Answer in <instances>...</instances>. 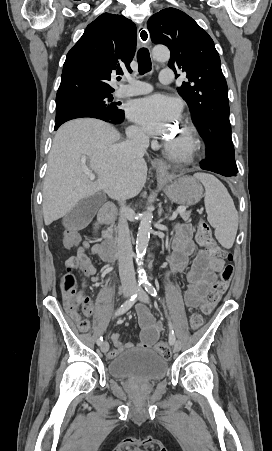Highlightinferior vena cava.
I'll list each match as a JSON object with an SVG mask.
<instances>
[{"label": "inferior vena cava", "mask_w": 272, "mask_h": 451, "mask_svg": "<svg viewBox=\"0 0 272 451\" xmlns=\"http://www.w3.org/2000/svg\"><path fill=\"white\" fill-rule=\"evenodd\" d=\"M128 142H121L117 146V156L123 166H128L134 158H143L146 154V148L149 146V138L141 130H133L127 134ZM120 218L118 222V257H119V275L122 285L126 287H135V271L132 257V245L129 233V227L125 218L127 210L125 200L119 198Z\"/></svg>", "instance_id": "602c4592"}]
</instances>
